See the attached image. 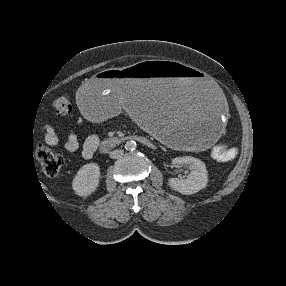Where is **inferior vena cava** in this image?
Masks as SVG:
<instances>
[{
	"mask_svg": "<svg viewBox=\"0 0 286 286\" xmlns=\"http://www.w3.org/2000/svg\"><path fill=\"white\" fill-rule=\"evenodd\" d=\"M123 155V150H113L110 152V158L117 159Z\"/></svg>",
	"mask_w": 286,
	"mask_h": 286,
	"instance_id": "602c4592",
	"label": "inferior vena cava"
}]
</instances>
